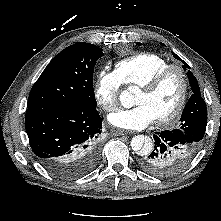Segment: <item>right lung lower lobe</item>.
I'll return each instance as SVG.
<instances>
[{
    "instance_id": "98d812e1",
    "label": "right lung lower lobe",
    "mask_w": 221,
    "mask_h": 221,
    "mask_svg": "<svg viewBox=\"0 0 221 221\" xmlns=\"http://www.w3.org/2000/svg\"><path fill=\"white\" fill-rule=\"evenodd\" d=\"M25 129L33 152L57 177H80L98 161L96 139L102 119L96 108L31 107L26 111Z\"/></svg>"
}]
</instances>
